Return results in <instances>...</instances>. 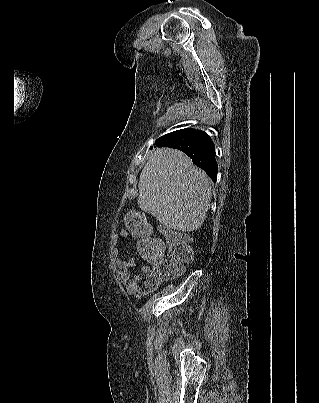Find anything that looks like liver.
<instances>
[{
  "mask_svg": "<svg viewBox=\"0 0 319 403\" xmlns=\"http://www.w3.org/2000/svg\"><path fill=\"white\" fill-rule=\"evenodd\" d=\"M138 206L164 226L183 232L199 229L208 213L211 182L181 151L155 149L139 178Z\"/></svg>",
  "mask_w": 319,
  "mask_h": 403,
  "instance_id": "obj_1",
  "label": "liver"
}]
</instances>
